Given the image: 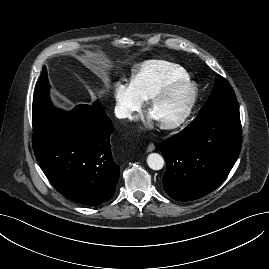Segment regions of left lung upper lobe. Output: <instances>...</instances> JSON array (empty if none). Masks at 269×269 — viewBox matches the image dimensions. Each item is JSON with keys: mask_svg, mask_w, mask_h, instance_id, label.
Instances as JSON below:
<instances>
[{"mask_svg": "<svg viewBox=\"0 0 269 269\" xmlns=\"http://www.w3.org/2000/svg\"><path fill=\"white\" fill-rule=\"evenodd\" d=\"M238 107L233 88L229 82L220 75L216 76L214 88L208 101L199 113L210 114L217 110Z\"/></svg>", "mask_w": 269, "mask_h": 269, "instance_id": "1", "label": "left lung upper lobe"}]
</instances>
